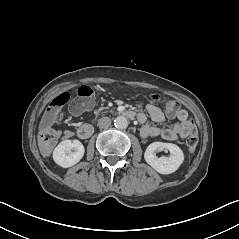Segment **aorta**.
<instances>
[{
    "label": "aorta",
    "mask_w": 239,
    "mask_h": 239,
    "mask_svg": "<svg viewBox=\"0 0 239 239\" xmlns=\"http://www.w3.org/2000/svg\"><path fill=\"white\" fill-rule=\"evenodd\" d=\"M114 125L116 128L125 129L128 126V120L124 116H117Z\"/></svg>",
    "instance_id": "1"
}]
</instances>
